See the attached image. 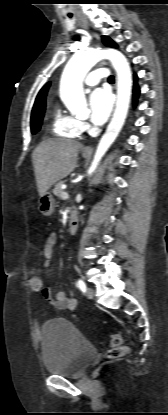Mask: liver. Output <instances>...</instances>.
I'll return each instance as SVG.
<instances>
[{"instance_id":"obj_1","label":"liver","mask_w":168,"mask_h":415,"mask_svg":"<svg viewBox=\"0 0 168 415\" xmlns=\"http://www.w3.org/2000/svg\"><path fill=\"white\" fill-rule=\"evenodd\" d=\"M81 148V143L68 139H47L35 148L32 161L40 197L75 169Z\"/></svg>"}]
</instances>
